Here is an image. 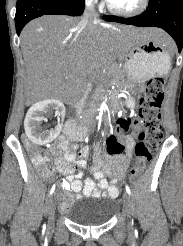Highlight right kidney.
<instances>
[{"mask_svg":"<svg viewBox=\"0 0 183 246\" xmlns=\"http://www.w3.org/2000/svg\"><path fill=\"white\" fill-rule=\"evenodd\" d=\"M56 110L62 119L65 116L64 105L55 99H48L34 104L27 112L24 128L28 138L37 145L51 142L58 134L55 131H45L41 123L46 120V115ZM60 127L62 125H59Z\"/></svg>","mask_w":183,"mask_h":246,"instance_id":"1","label":"right kidney"}]
</instances>
